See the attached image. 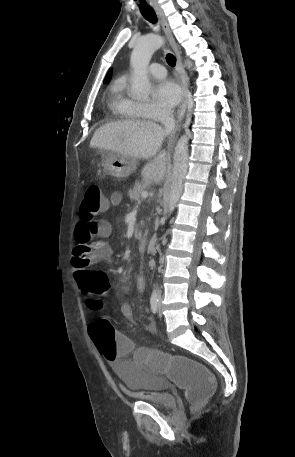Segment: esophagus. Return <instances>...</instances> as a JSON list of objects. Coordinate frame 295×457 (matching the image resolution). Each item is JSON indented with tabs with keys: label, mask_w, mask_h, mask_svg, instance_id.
<instances>
[{
	"label": "esophagus",
	"mask_w": 295,
	"mask_h": 457,
	"mask_svg": "<svg viewBox=\"0 0 295 457\" xmlns=\"http://www.w3.org/2000/svg\"><path fill=\"white\" fill-rule=\"evenodd\" d=\"M153 9L154 11L156 12L157 14V17L160 21V24L163 28V31L175 53V56H176V70H177V73L180 77V80H181V87H182V94H183V97H182V103L180 105V108L178 110V113H177V123H180L181 120L184 118V115H185V112H186V108H187V103H188V79H187V76H186V73H185V70L183 68V64H182V60H181V55H180V52L178 50V47L175 43V40L173 38V35H172V32L170 30V27L165 19V16L163 14V12L161 11V9L157 6V5H153Z\"/></svg>",
	"instance_id": "34e87169"
}]
</instances>
